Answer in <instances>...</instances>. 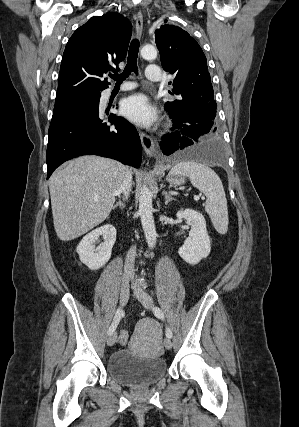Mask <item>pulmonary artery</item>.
I'll use <instances>...</instances> for the list:
<instances>
[{
  "mask_svg": "<svg viewBox=\"0 0 299 427\" xmlns=\"http://www.w3.org/2000/svg\"><path fill=\"white\" fill-rule=\"evenodd\" d=\"M145 78L149 81H159L161 79V70L158 66L151 65L146 69ZM135 84L128 83L120 87L121 91L133 89Z\"/></svg>",
  "mask_w": 299,
  "mask_h": 427,
  "instance_id": "1",
  "label": "pulmonary artery"
}]
</instances>
